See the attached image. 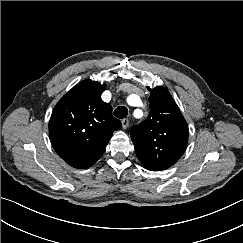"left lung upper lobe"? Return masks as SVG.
Returning a JSON list of instances; mask_svg holds the SVG:
<instances>
[{
    "instance_id": "left-lung-upper-lobe-1",
    "label": "left lung upper lobe",
    "mask_w": 243,
    "mask_h": 243,
    "mask_svg": "<svg viewBox=\"0 0 243 243\" xmlns=\"http://www.w3.org/2000/svg\"><path fill=\"white\" fill-rule=\"evenodd\" d=\"M150 91L147 119L130 130L139 161L152 171L166 170L183 155L188 142V125L164 87Z\"/></svg>"
}]
</instances>
